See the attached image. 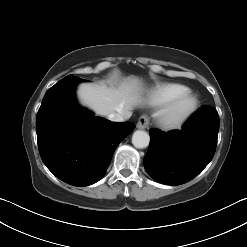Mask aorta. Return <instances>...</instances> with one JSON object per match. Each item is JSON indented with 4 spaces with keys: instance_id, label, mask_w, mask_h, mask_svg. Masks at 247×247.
Here are the masks:
<instances>
[{
    "instance_id": "aorta-1",
    "label": "aorta",
    "mask_w": 247,
    "mask_h": 247,
    "mask_svg": "<svg viewBox=\"0 0 247 247\" xmlns=\"http://www.w3.org/2000/svg\"><path fill=\"white\" fill-rule=\"evenodd\" d=\"M150 137L145 131L137 130L132 136V144L136 148H146L149 145Z\"/></svg>"
}]
</instances>
